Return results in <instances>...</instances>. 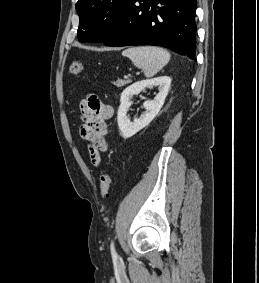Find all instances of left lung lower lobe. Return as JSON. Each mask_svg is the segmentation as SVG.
I'll return each instance as SVG.
<instances>
[{
  "label": "left lung lower lobe",
  "instance_id": "obj_1",
  "mask_svg": "<svg viewBox=\"0 0 259 283\" xmlns=\"http://www.w3.org/2000/svg\"><path fill=\"white\" fill-rule=\"evenodd\" d=\"M196 0H132L115 32L103 43L156 45L195 60Z\"/></svg>",
  "mask_w": 259,
  "mask_h": 283
}]
</instances>
